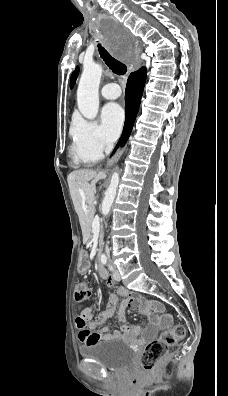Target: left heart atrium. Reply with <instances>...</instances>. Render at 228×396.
Here are the masks:
<instances>
[{
    "mask_svg": "<svg viewBox=\"0 0 228 396\" xmlns=\"http://www.w3.org/2000/svg\"><path fill=\"white\" fill-rule=\"evenodd\" d=\"M101 122L106 137L114 141L119 136L124 123L123 108L117 103L107 104L101 112Z\"/></svg>",
    "mask_w": 228,
    "mask_h": 396,
    "instance_id": "obj_1",
    "label": "left heart atrium"
}]
</instances>
